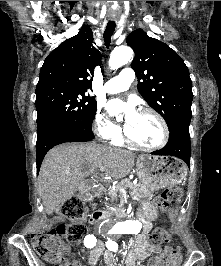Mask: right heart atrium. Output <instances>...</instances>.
I'll use <instances>...</instances> for the list:
<instances>
[{"instance_id": "1", "label": "right heart atrium", "mask_w": 221, "mask_h": 266, "mask_svg": "<svg viewBox=\"0 0 221 266\" xmlns=\"http://www.w3.org/2000/svg\"><path fill=\"white\" fill-rule=\"evenodd\" d=\"M93 131L103 140H115L121 136V128L111 122L100 109L96 111L93 119Z\"/></svg>"}]
</instances>
